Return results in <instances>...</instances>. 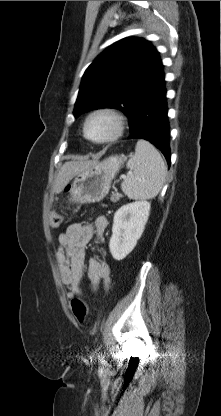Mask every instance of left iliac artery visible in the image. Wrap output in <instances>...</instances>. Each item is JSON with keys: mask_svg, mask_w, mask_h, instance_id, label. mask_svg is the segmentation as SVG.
<instances>
[{"mask_svg": "<svg viewBox=\"0 0 221 416\" xmlns=\"http://www.w3.org/2000/svg\"><path fill=\"white\" fill-rule=\"evenodd\" d=\"M99 360L103 363L105 360H103L102 357L99 356Z\"/></svg>", "mask_w": 221, "mask_h": 416, "instance_id": "obj_1", "label": "left iliac artery"}]
</instances>
